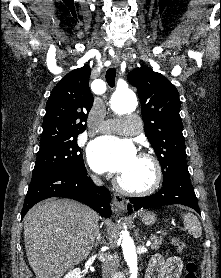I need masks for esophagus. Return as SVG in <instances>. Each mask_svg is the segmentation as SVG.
Masks as SVG:
<instances>
[{
    "label": "esophagus",
    "mask_w": 221,
    "mask_h": 278,
    "mask_svg": "<svg viewBox=\"0 0 221 278\" xmlns=\"http://www.w3.org/2000/svg\"><path fill=\"white\" fill-rule=\"evenodd\" d=\"M120 57H121V52L119 50H116L115 54L113 56L114 66L119 65ZM113 200H114V204H115L116 207H118L119 209H125V198L121 194L114 193L113 194Z\"/></svg>",
    "instance_id": "esophagus-1"
}]
</instances>
